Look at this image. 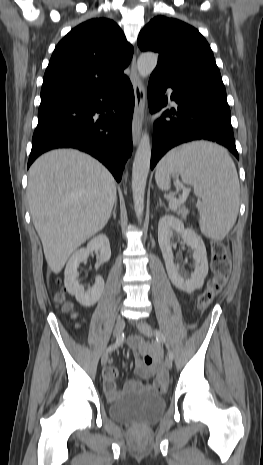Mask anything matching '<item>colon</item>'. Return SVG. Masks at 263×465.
I'll use <instances>...</instances> for the list:
<instances>
[{
  "label": "colon",
  "instance_id": "5ec220e1",
  "mask_svg": "<svg viewBox=\"0 0 263 465\" xmlns=\"http://www.w3.org/2000/svg\"><path fill=\"white\" fill-rule=\"evenodd\" d=\"M210 251L212 277L197 299V309L200 312L206 310L212 304L215 297L222 291L228 281L231 271V261L228 250L222 242L213 241L210 246ZM57 300L61 302L62 297L58 296ZM63 309L69 311L71 306L64 303Z\"/></svg>",
  "mask_w": 263,
  "mask_h": 465
}]
</instances>
